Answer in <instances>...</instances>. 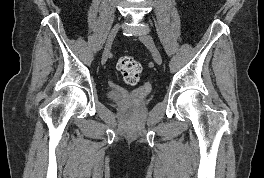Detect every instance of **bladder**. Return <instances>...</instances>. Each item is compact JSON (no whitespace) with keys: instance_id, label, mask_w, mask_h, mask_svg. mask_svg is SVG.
Returning <instances> with one entry per match:
<instances>
[{"instance_id":"bladder-1","label":"bladder","mask_w":264,"mask_h":178,"mask_svg":"<svg viewBox=\"0 0 264 178\" xmlns=\"http://www.w3.org/2000/svg\"><path fill=\"white\" fill-rule=\"evenodd\" d=\"M107 95L111 101H122L128 98L126 94L112 88L108 90Z\"/></svg>"}]
</instances>
